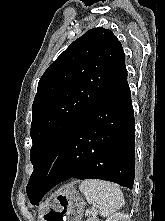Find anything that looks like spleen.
Instances as JSON below:
<instances>
[{
    "label": "spleen",
    "instance_id": "obj_1",
    "mask_svg": "<svg viewBox=\"0 0 165 221\" xmlns=\"http://www.w3.org/2000/svg\"><path fill=\"white\" fill-rule=\"evenodd\" d=\"M87 202L98 208L102 217H109L124 205V197L116 184L101 180H84L79 186Z\"/></svg>",
    "mask_w": 165,
    "mask_h": 221
}]
</instances>
